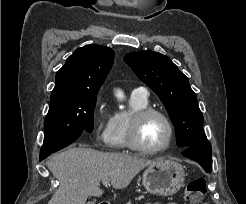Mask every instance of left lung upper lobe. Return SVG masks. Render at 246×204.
I'll list each match as a JSON object with an SVG mask.
<instances>
[{"instance_id": "obj_1", "label": "left lung upper lobe", "mask_w": 246, "mask_h": 204, "mask_svg": "<svg viewBox=\"0 0 246 204\" xmlns=\"http://www.w3.org/2000/svg\"><path fill=\"white\" fill-rule=\"evenodd\" d=\"M140 80L148 85L165 105L175 126L177 144L190 147L207 142L203 116L188 78L169 57L153 51L131 52L124 57Z\"/></svg>"}]
</instances>
